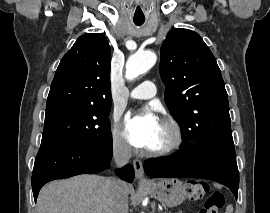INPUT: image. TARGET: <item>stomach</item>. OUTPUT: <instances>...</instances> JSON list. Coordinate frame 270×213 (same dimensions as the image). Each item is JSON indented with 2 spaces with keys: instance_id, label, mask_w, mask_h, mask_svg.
I'll list each match as a JSON object with an SVG mask.
<instances>
[{
  "instance_id": "stomach-1",
  "label": "stomach",
  "mask_w": 270,
  "mask_h": 213,
  "mask_svg": "<svg viewBox=\"0 0 270 213\" xmlns=\"http://www.w3.org/2000/svg\"><path fill=\"white\" fill-rule=\"evenodd\" d=\"M147 190L168 207L179 205L185 198L182 182L176 178L154 180L147 186Z\"/></svg>"
}]
</instances>
